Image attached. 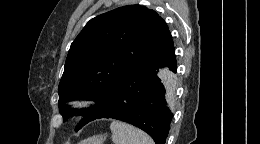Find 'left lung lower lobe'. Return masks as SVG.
<instances>
[{
  "label": "left lung lower lobe",
  "mask_w": 260,
  "mask_h": 144,
  "mask_svg": "<svg viewBox=\"0 0 260 144\" xmlns=\"http://www.w3.org/2000/svg\"><path fill=\"white\" fill-rule=\"evenodd\" d=\"M164 62H170V69L176 72L173 42L131 69L114 89L106 109L95 119L127 122L147 132L156 144H165L173 114L170 90L157 76L159 65Z\"/></svg>",
  "instance_id": "left-lung-lower-lobe-1"
}]
</instances>
